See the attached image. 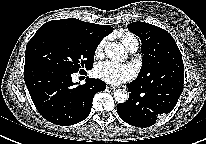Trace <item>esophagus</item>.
Returning a JSON list of instances; mask_svg holds the SVG:
<instances>
[{
  "mask_svg": "<svg viewBox=\"0 0 206 144\" xmlns=\"http://www.w3.org/2000/svg\"><path fill=\"white\" fill-rule=\"evenodd\" d=\"M107 89H109V90H115L116 87H115V86H112V85H107Z\"/></svg>",
  "mask_w": 206,
  "mask_h": 144,
  "instance_id": "obj_1",
  "label": "esophagus"
}]
</instances>
